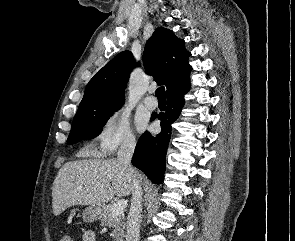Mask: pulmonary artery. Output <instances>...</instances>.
Returning <instances> with one entry per match:
<instances>
[{"label": "pulmonary artery", "mask_w": 295, "mask_h": 241, "mask_svg": "<svg viewBox=\"0 0 295 241\" xmlns=\"http://www.w3.org/2000/svg\"><path fill=\"white\" fill-rule=\"evenodd\" d=\"M153 90L150 89L149 90V94H152ZM144 104L145 106L150 109V110H154L157 107V101L154 99L153 96L148 95L145 99H144Z\"/></svg>", "instance_id": "obj_1"}]
</instances>
